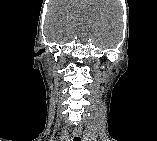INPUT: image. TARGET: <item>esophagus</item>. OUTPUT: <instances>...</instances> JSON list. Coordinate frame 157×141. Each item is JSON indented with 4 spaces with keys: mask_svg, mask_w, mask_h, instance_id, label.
Here are the masks:
<instances>
[{
    "mask_svg": "<svg viewBox=\"0 0 157 141\" xmlns=\"http://www.w3.org/2000/svg\"><path fill=\"white\" fill-rule=\"evenodd\" d=\"M81 132H82L81 128H75L73 134L75 137H78L81 135Z\"/></svg>",
    "mask_w": 157,
    "mask_h": 141,
    "instance_id": "1",
    "label": "esophagus"
}]
</instances>
